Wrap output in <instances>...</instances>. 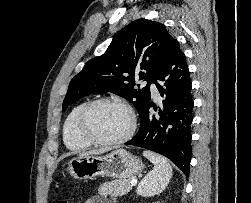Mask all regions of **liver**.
<instances>
[{"label":"liver","instance_id":"6515ba94","mask_svg":"<svg viewBox=\"0 0 251 203\" xmlns=\"http://www.w3.org/2000/svg\"><path fill=\"white\" fill-rule=\"evenodd\" d=\"M109 150H110L109 148H100L99 150H90V151L82 152L79 154V156L99 155V154H103Z\"/></svg>","mask_w":251,"mask_h":203}]
</instances>
